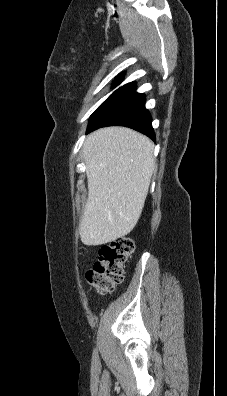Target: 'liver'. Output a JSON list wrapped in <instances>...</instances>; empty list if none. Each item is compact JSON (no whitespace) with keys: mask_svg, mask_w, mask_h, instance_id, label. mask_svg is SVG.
Here are the masks:
<instances>
[{"mask_svg":"<svg viewBox=\"0 0 227 396\" xmlns=\"http://www.w3.org/2000/svg\"><path fill=\"white\" fill-rule=\"evenodd\" d=\"M153 142L125 127L92 132L83 144L88 198L79 225L83 244L97 246L135 227L155 169Z\"/></svg>","mask_w":227,"mask_h":396,"instance_id":"6515ba94","label":"liver"}]
</instances>
